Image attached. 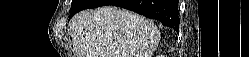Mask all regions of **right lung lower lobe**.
Wrapping results in <instances>:
<instances>
[{"label":"right lung lower lobe","instance_id":"98d812e1","mask_svg":"<svg viewBox=\"0 0 249 57\" xmlns=\"http://www.w3.org/2000/svg\"><path fill=\"white\" fill-rule=\"evenodd\" d=\"M105 5L132 10L148 18L159 20L164 26L174 28L178 31V0H91L85 9Z\"/></svg>","mask_w":249,"mask_h":57}]
</instances>
